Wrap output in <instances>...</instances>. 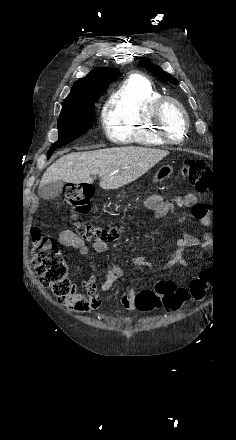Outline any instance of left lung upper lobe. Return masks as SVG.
<instances>
[{
    "mask_svg": "<svg viewBox=\"0 0 236 440\" xmlns=\"http://www.w3.org/2000/svg\"><path fill=\"white\" fill-rule=\"evenodd\" d=\"M139 64L144 67L147 68L150 72H152L153 74H155V76L162 80V81H168L174 85H178L177 80L171 76L169 73L163 71L160 67L154 65L149 59H145V58H140Z\"/></svg>",
    "mask_w": 236,
    "mask_h": 440,
    "instance_id": "5c2ea615",
    "label": "left lung upper lobe"
}]
</instances>
